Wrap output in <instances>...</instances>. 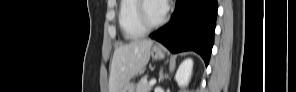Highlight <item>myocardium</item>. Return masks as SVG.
I'll list each match as a JSON object with an SVG mask.
<instances>
[{
  "label": "myocardium",
  "mask_w": 296,
  "mask_h": 92,
  "mask_svg": "<svg viewBox=\"0 0 296 92\" xmlns=\"http://www.w3.org/2000/svg\"><path fill=\"white\" fill-rule=\"evenodd\" d=\"M148 2L149 1L147 0L138 1L137 9H136L137 22L145 31L153 30L160 27L166 20L165 15H163V17L159 21L155 23L149 22L146 17V5Z\"/></svg>",
  "instance_id": "myocardium-1"
}]
</instances>
